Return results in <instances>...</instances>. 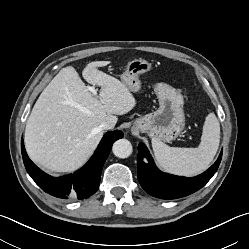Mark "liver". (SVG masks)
Here are the masks:
<instances>
[{
	"label": "liver",
	"instance_id": "obj_1",
	"mask_svg": "<svg viewBox=\"0 0 249 249\" xmlns=\"http://www.w3.org/2000/svg\"><path fill=\"white\" fill-rule=\"evenodd\" d=\"M109 61H95L83 69V78L99 86L94 97L77 71L65 67L37 99L27 120L24 141L29 157L54 172H73L93 154L103 131L102 122L113 127L117 116L131 111L136 100L128 87L98 69Z\"/></svg>",
	"mask_w": 249,
	"mask_h": 249
}]
</instances>
